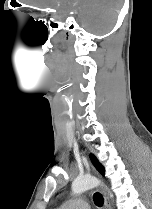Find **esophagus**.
Instances as JSON below:
<instances>
[{"mask_svg": "<svg viewBox=\"0 0 152 209\" xmlns=\"http://www.w3.org/2000/svg\"><path fill=\"white\" fill-rule=\"evenodd\" d=\"M102 192H103V195H104V209H110V205L108 203V199H107L104 191H102Z\"/></svg>", "mask_w": 152, "mask_h": 209, "instance_id": "esophagus-1", "label": "esophagus"}]
</instances>
